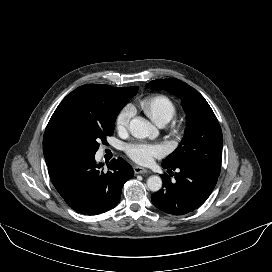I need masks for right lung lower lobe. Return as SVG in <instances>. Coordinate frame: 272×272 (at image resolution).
<instances>
[{"instance_id": "right-lung-lower-lobe-1", "label": "right lung lower lobe", "mask_w": 272, "mask_h": 272, "mask_svg": "<svg viewBox=\"0 0 272 272\" xmlns=\"http://www.w3.org/2000/svg\"><path fill=\"white\" fill-rule=\"evenodd\" d=\"M95 155L61 160L48 165L53 185L76 212L97 215L114 208L124 183L134 171L123 158L113 159L108 170L101 169Z\"/></svg>"}]
</instances>
